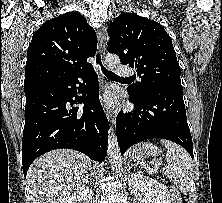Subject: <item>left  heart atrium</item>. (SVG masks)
I'll list each match as a JSON object with an SVG mask.
<instances>
[{
    "instance_id": "39dd6f15",
    "label": "left heart atrium",
    "mask_w": 222,
    "mask_h": 203,
    "mask_svg": "<svg viewBox=\"0 0 222 203\" xmlns=\"http://www.w3.org/2000/svg\"><path fill=\"white\" fill-rule=\"evenodd\" d=\"M105 99H106L108 102L113 103L114 100H115V94H114V92H112V91L108 92V93L106 94V96H105Z\"/></svg>"
}]
</instances>
